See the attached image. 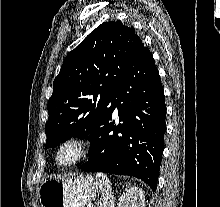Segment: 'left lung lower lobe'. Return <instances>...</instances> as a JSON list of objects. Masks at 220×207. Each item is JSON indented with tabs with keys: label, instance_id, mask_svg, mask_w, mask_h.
I'll list each match as a JSON object with an SVG mask.
<instances>
[{
	"label": "left lung lower lobe",
	"instance_id": "0a47b994",
	"mask_svg": "<svg viewBox=\"0 0 220 207\" xmlns=\"http://www.w3.org/2000/svg\"><path fill=\"white\" fill-rule=\"evenodd\" d=\"M116 107L119 122H110ZM165 118L159 71L148 47L141 43L89 139V160L80 168L137 177L154 192L164 149Z\"/></svg>",
	"mask_w": 220,
	"mask_h": 207
}]
</instances>
